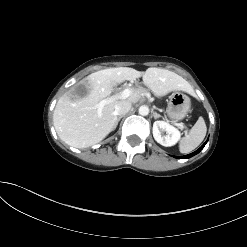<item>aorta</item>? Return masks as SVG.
Returning <instances> with one entry per match:
<instances>
[{"instance_id": "762f6f07", "label": "aorta", "mask_w": 247, "mask_h": 247, "mask_svg": "<svg viewBox=\"0 0 247 247\" xmlns=\"http://www.w3.org/2000/svg\"><path fill=\"white\" fill-rule=\"evenodd\" d=\"M139 114L142 116H147L149 114V108L146 105H142L139 108Z\"/></svg>"}]
</instances>
